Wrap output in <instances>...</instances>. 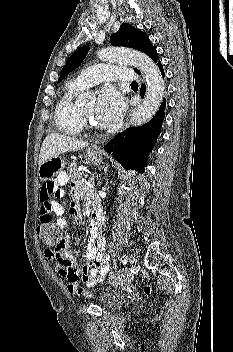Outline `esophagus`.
<instances>
[{
    "label": "esophagus",
    "instance_id": "1",
    "mask_svg": "<svg viewBox=\"0 0 233 352\" xmlns=\"http://www.w3.org/2000/svg\"><path fill=\"white\" fill-rule=\"evenodd\" d=\"M130 117H131V112L128 114V116L123 124L122 130H124L128 126Z\"/></svg>",
    "mask_w": 233,
    "mask_h": 352
}]
</instances>
